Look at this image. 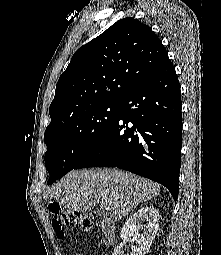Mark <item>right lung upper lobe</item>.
I'll return each instance as SVG.
<instances>
[{
  "mask_svg": "<svg viewBox=\"0 0 221 255\" xmlns=\"http://www.w3.org/2000/svg\"><path fill=\"white\" fill-rule=\"evenodd\" d=\"M166 59L149 26L131 17L117 21L73 55L56 85L46 130L84 108L119 103Z\"/></svg>",
  "mask_w": 221,
  "mask_h": 255,
  "instance_id": "obj_1",
  "label": "right lung upper lobe"
}]
</instances>
